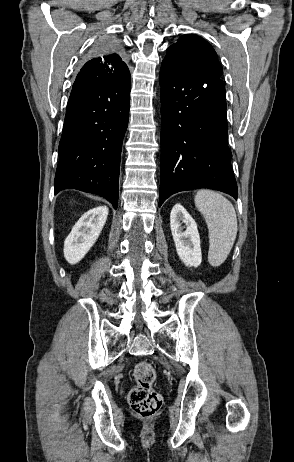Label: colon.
<instances>
[{
    "instance_id": "obj_1",
    "label": "colon",
    "mask_w": 294,
    "mask_h": 462,
    "mask_svg": "<svg viewBox=\"0 0 294 462\" xmlns=\"http://www.w3.org/2000/svg\"><path fill=\"white\" fill-rule=\"evenodd\" d=\"M155 378V369L149 362L141 361L135 366L136 385L130 390L128 401L132 410L141 417L155 415L162 406V396L152 387Z\"/></svg>"
}]
</instances>
